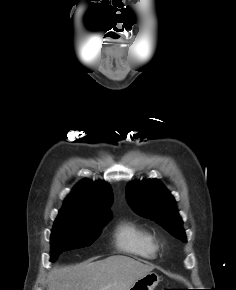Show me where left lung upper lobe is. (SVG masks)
Listing matches in <instances>:
<instances>
[{
	"instance_id": "left-lung-upper-lobe-1",
	"label": "left lung upper lobe",
	"mask_w": 236,
	"mask_h": 290,
	"mask_svg": "<svg viewBox=\"0 0 236 290\" xmlns=\"http://www.w3.org/2000/svg\"><path fill=\"white\" fill-rule=\"evenodd\" d=\"M126 197L137 213L155 220L177 239L186 242L175 199L159 180L129 183Z\"/></svg>"
}]
</instances>
